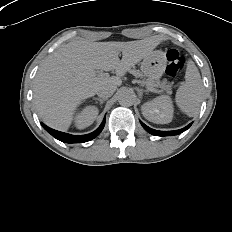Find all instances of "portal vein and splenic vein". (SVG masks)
I'll return each instance as SVG.
<instances>
[{"instance_id":"obj_1","label":"portal vein and splenic vein","mask_w":232,"mask_h":232,"mask_svg":"<svg viewBox=\"0 0 232 232\" xmlns=\"http://www.w3.org/2000/svg\"><path fill=\"white\" fill-rule=\"evenodd\" d=\"M99 76L101 78H107V77H109V74L108 73H101Z\"/></svg>"}]
</instances>
